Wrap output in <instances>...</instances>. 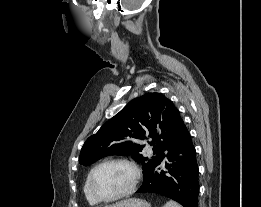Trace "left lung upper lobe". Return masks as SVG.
I'll list each match as a JSON object with an SVG mask.
<instances>
[{
  "mask_svg": "<svg viewBox=\"0 0 261 207\" xmlns=\"http://www.w3.org/2000/svg\"><path fill=\"white\" fill-rule=\"evenodd\" d=\"M179 110L160 93L133 99L84 143L79 163L89 165L108 155H131L143 164L144 177L164 158L183 125ZM151 139L153 156L143 157L142 140Z\"/></svg>",
  "mask_w": 261,
  "mask_h": 207,
  "instance_id": "1",
  "label": "left lung upper lobe"
}]
</instances>
